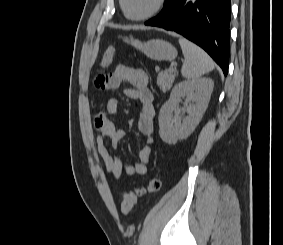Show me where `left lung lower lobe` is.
Returning a JSON list of instances; mask_svg holds the SVG:
<instances>
[{"instance_id": "0a47b994", "label": "left lung lower lobe", "mask_w": 283, "mask_h": 245, "mask_svg": "<svg viewBox=\"0 0 283 245\" xmlns=\"http://www.w3.org/2000/svg\"><path fill=\"white\" fill-rule=\"evenodd\" d=\"M231 0H173L145 25L175 31L202 47L227 75Z\"/></svg>"}]
</instances>
